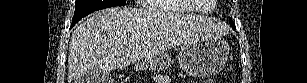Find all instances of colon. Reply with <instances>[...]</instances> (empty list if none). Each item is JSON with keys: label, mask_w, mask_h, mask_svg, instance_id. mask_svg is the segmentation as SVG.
<instances>
[{"label": "colon", "mask_w": 307, "mask_h": 83, "mask_svg": "<svg viewBox=\"0 0 307 83\" xmlns=\"http://www.w3.org/2000/svg\"><path fill=\"white\" fill-rule=\"evenodd\" d=\"M206 83H214V81L209 79V80H206Z\"/></svg>", "instance_id": "obj_1"}]
</instances>
